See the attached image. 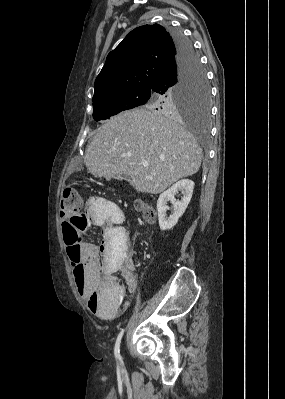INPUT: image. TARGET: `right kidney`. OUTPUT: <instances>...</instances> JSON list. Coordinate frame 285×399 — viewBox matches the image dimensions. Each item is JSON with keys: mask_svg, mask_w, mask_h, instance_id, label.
I'll return each mask as SVG.
<instances>
[{"mask_svg": "<svg viewBox=\"0 0 285 399\" xmlns=\"http://www.w3.org/2000/svg\"><path fill=\"white\" fill-rule=\"evenodd\" d=\"M193 189L194 182L189 179H183L175 183L159 196L157 201V211L161 230H169L177 224L179 218L184 214L191 200ZM179 191L183 192L181 201L175 199V195ZM168 201L172 202L174 213L167 218L166 211L168 209Z\"/></svg>", "mask_w": 285, "mask_h": 399, "instance_id": "obj_1", "label": "right kidney"}]
</instances>
